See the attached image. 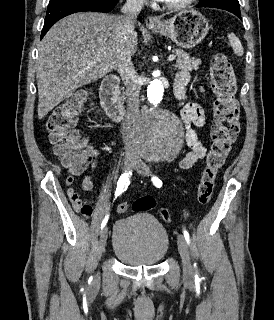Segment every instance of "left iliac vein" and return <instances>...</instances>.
<instances>
[{
	"label": "left iliac vein",
	"instance_id": "obj_1",
	"mask_svg": "<svg viewBox=\"0 0 274 320\" xmlns=\"http://www.w3.org/2000/svg\"><path fill=\"white\" fill-rule=\"evenodd\" d=\"M135 170L143 176H149L151 171L149 167L141 160H138L134 166ZM178 250L183 264V275L186 281H191L193 278V267L190 261V253L187 242L182 234L177 237Z\"/></svg>",
	"mask_w": 274,
	"mask_h": 320
}]
</instances>
